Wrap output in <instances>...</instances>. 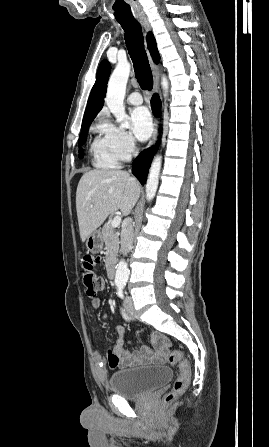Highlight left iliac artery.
<instances>
[{
	"label": "left iliac artery",
	"instance_id": "44dca946",
	"mask_svg": "<svg viewBox=\"0 0 269 447\" xmlns=\"http://www.w3.org/2000/svg\"><path fill=\"white\" fill-rule=\"evenodd\" d=\"M124 286H125V283H122V284H119L118 285V295H119V297H121V298H123V288H124Z\"/></svg>",
	"mask_w": 269,
	"mask_h": 447
}]
</instances>
